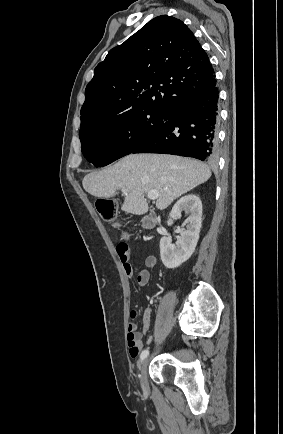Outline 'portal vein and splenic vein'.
I'll return each mask as SVG.
<instances>
[{
	"label": "portal vein and splenic vein",
	"mask_w": 283,
	"mask_h": 434,
	"mask_svg": "<svg viewBox=\"0 0 283 434\" xmlns=\"http://www.w3.org/2000/svg\"><path fill=\"white\" fill-rule=\"evenodd\" d=\"M122 192H126V188H122ZM147 196H148L149 199L155 200V199L158 198L159 193L156 190H151V191L148 192Z\"/></svg>",
	"instance_id": "18ae733b"
}]
</instances>
